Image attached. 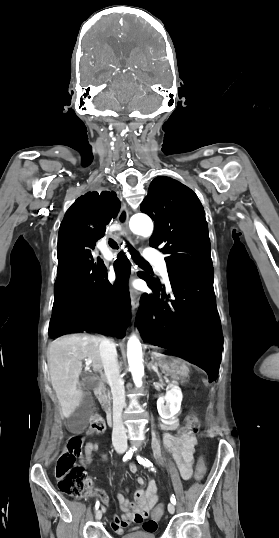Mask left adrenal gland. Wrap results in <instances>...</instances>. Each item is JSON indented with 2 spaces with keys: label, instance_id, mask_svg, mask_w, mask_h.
<instances>
[{
  "label": "left adrenal gland",
  "instance_id": "1",
  "mask_svg": "<svg viewBox=\"0 0 279 538\" xmlns=\"http://www.w3.org/2000/svg\"><path fill=\"white\" fill-rule=\"evenodd\" d=\"M149 368H152V370H154V372H156L158 378H160V380H161V374H159L157 366H154V364H153V358H151V364H149Z\"/></svg>",
  "mask_w": 279,
  "mask_h": 538
}]
</instances>
